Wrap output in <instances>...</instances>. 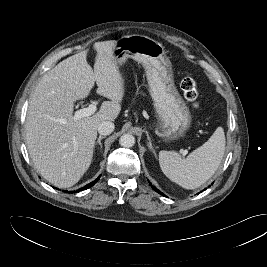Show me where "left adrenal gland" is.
<instances>
[{
    "label": "left adrenal gland",
    "mask_w": 267,
    "mask_h": 267,
    "mask_svg": "<svg viewBox=\"0 0 267 267\" xmlns=\"http://www.w3.org/2000/svg\"><path fill=\"white\" fill-rule=\"evenodd\" d=\"M145 133H146V135H147V139H148V141H149V142H148L149 150L152 151L153 154H154V156L156 157V151H155V149H154V147H153V145H152L151 138H150V136H149V134H148L147 131H145Z\"/></svg>",
    "instance_id": "obj_1"
}]
</instances>
